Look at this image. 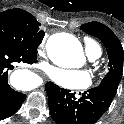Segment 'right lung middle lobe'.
Returning <instances> with one entry per match:
<instances>
[{"mask_svg": "<svg viewBox=\"0 0 124 124\" xmlns=\"http://www.w3.org/2000/svg\"><path fill=\"white\" fill-rule=\"evenodd\" d=\"M40 25L30 13L22 9L1 12L0 45L35 54L44 37Z\"/></svg>", "mask_w": 124, "mask_h": 124, "instance_id": "1", "label": "right lung middle lobe"}]
</instances>
